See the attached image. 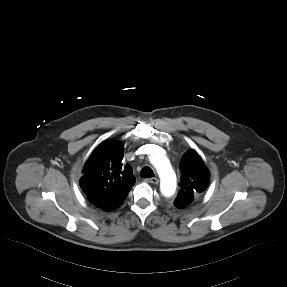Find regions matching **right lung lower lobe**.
<instances>
[{"label":"right lung lower lobe","instance_id":"98d812e1","mask_svg":"<svg viewBox=\"0 0 287 287\" xmlns=\"http://www.w3.org/2000/svg\"><path fill=\"white\" fill-rule=\"evenodd\" d=\"M125 200V198L123 200H118V201H113V202H96V201H90L94 206H96L97 208H100L104 211H112L113 209H116L117 207H119L123 201Z\"/></svg>","mask_w":287,"mask_h":287}]
</instances>
